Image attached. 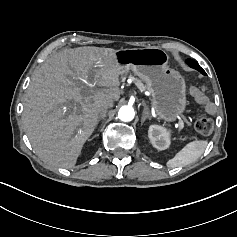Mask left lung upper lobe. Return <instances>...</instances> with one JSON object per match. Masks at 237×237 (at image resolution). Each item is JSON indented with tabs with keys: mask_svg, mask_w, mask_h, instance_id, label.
<instances>
[{
	"mask_svg": "<svg viewBox=\"0 0 237 237\" xmlns=\"http://www.w3.org/2000/svg\"><path fill=\"white\" fill-rule=\"evenodd\" d=\"M186 63H187L190 67H192L193 69L198 70L201 74L207 75V74L205 73V71L199 66V64H198L196 61H194L193 59H187V60H186Z\"/></svg>",
	"mask_w": 237,
	"mask_h": 237,
	"instance_id": "5c2ea615",
	"label": "left lung upper lobe"
}]
</instances>
